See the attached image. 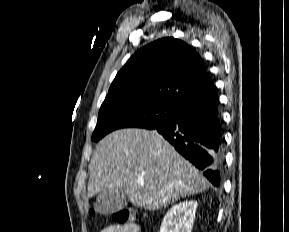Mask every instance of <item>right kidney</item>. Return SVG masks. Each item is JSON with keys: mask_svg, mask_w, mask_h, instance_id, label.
<instances>
[{"mask_svg": "<svg viewBox=\"0 0 289 232\" xmlns=\"http://www.w3.org/2000/svg\"><path fill=\"white\" fill-rule=\"evenodd\" d=\"M197 202L183 201L171 207L161 223L160 232H191Z\"/></svg>", "mask_w": 289, "mask_h": 232, "instance_id": "1", "label": "right kidney"}]
</instances>
